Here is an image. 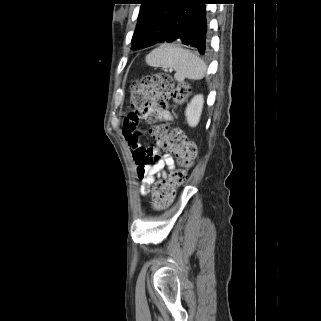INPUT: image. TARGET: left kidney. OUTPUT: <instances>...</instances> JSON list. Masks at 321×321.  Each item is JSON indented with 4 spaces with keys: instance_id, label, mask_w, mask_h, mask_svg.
I'll list each match as a JSON object with an SVG mask.
<instances>
[{
    "instance_id": "5707ae66",
    "label": "left kidney",
    "mask_w": 321,
    "mask_h": 321,
    "mask_svg": "<svg viewBox=\"0 0 321 321\" xmlns=\"http://www.w3.org/2000/svg\"><path fill=\"white\" fill-rule=\"evenodd\" d=\"M204 104L203 95H196L187 105L185 115L189 126L196 127L199 123Z\"/></svg>"
}]
</instances>
